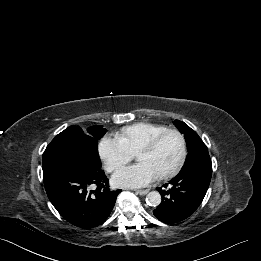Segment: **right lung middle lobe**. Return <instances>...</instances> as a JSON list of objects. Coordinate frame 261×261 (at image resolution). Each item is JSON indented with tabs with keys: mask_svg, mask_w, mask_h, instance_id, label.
I'll use <instances>...</instances> for the list:
<instances>
[{
	"mask_svg": "<svg viewBox=\"0 0 261 261\" xmlns=\"http://www.w3.org/2000/svg\"><path fill=\"white\" fill-rule=\"evenodd\" d=\"M106 131L105 128L99 125L89 127L86 133L78 126L68 127L47 146L43 154V169L50 171L55 166L68 161L70 150L74 149L76 139L81 140L84 144L89 159L101 166L98 156V140Z\"/></svg>",
	"mask_w": 261,
	"mask_h": 261,
	"instance_id": "obj_1",
	"label": "right lung middle lobe"
}]
</instances>
